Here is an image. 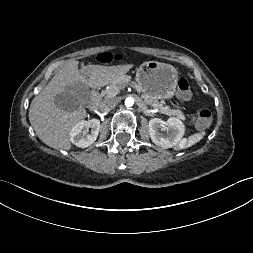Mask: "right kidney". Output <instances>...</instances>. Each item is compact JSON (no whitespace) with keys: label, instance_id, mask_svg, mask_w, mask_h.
<instances>
[{"label":"right kidney","instance_id":"right-kidney-1","mask_svg":"<svg viewBox=\"0 0 253 253\" xmlns=\"http://www.w3.org/2000/svg\"><path fill=\"white\" fill-rule=\"evenodd\" d=\"M100 126V121L98 119L78 122L71 129V142L80 148H86L90 146L97 139Z\"/></svg>","mask_w":253,"mask_h":253}]
</instances>
